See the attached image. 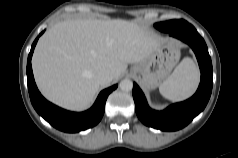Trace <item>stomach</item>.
Returning <instances> with one entry per match:
<instances>
[{"mask_svg":"<svg viewBox=\"0 0 238 158\" xmlns=\"http://www.w3.org/2000/svg\"><path fill=\"white\" fill-rule=\"evenodd\" d=\"M179 58V46L165 39L147 58L134 65L131 73L138 76L146 89H155L169 77Z\"/></svg>","mask_w":238,"mask_h":158,"instance_id":"obj_1","label":"stomach"}]
</instances>
